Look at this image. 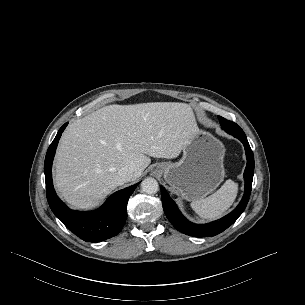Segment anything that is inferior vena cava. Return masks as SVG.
I'll use <instances>...</instances> for the list:
<instances>
[{"label": "inferior vena cava", "instance_id": "obj_1", "mask_svg": "<svg viewBox=\"0 0 305 305\" xmlns=\"http://www.w3.org/2000/svg\"><path fill=\"white\" fill-rule=\"evenodd\" d=\"M133 170L128 167H124L118 171V175L120 177V180L122 182H127L130 180V177L132 176Z\"/></svg>", "mask_w": 305, "mask_h": 305}]
</instances>
